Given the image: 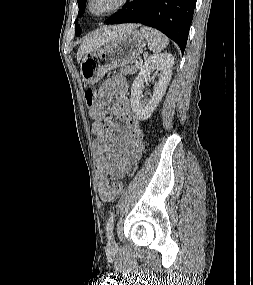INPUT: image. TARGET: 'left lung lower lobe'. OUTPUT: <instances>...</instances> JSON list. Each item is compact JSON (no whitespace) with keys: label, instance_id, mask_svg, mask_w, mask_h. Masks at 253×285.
Here are the masks:
<instances>
[{"label":"left lung lower lobe","instance_id":"obj_1","mask_svg":"<svg viewBox=\"0 0 253 285\" xmlns=\"http://www.w3.org/2000/svg\"><path fill=\"white\" fill-rule=\"evenodd\" d=\"M106 24L141 23L175 41L184 53L196 0H128Z\"/></svg>","mask_w":253,"mask_h":285}]
</instances>
